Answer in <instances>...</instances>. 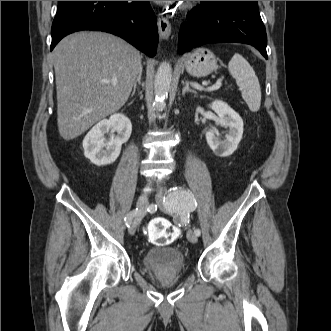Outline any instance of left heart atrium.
I'll use <instances>...</instances> for the list:
<instances>
[{"label":"left heart atrium","instance_id":"left-heart-atrium-1","mask_svg":"<svg viewBox=\"0 0 331 331\" xmlns=\"http://www.w3.org/2000/svg\"><path fill=\"white\" fill-rule=\"evenodd\" d=\"M155 2H157V3H168V2H170V1H155Z\"/></svg>","mask_w":331,"mask_h":331}]
</instances>
